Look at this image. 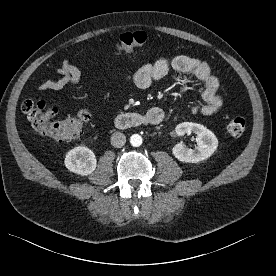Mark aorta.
Masks as SVG:
<instances>
[{
	"instance_id": "1",
	"label": "aorta",
	"mask_w": 276,
	"mask_h": 276,
	"mask_svg": "<svg viewBox=\"0 0 276 276\" xmlns=\"http://www.w3.org/2000/svg\"><path fill=\"white\" fill-rule=\"evenodd\" d=\"M130 143L134 147H139L142 144V137L138 134H134L130 137Z\"/></svg>"
}]
</instances>
